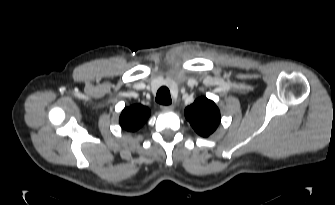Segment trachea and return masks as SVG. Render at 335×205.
I'll use <instances>...</instances> for the list:
<instances>
[{"instance_id":"trachea-1","label":"trachea","mask_w":335,"mask_h":205,"mask_svg":"<svg viewBox=\"0 0 335 205\" xmlns=\"http://www.w3.org/2000/svg\"><path fill=\"white\" fill-rule=\"evenodd\" d=\"M156 101L162 105H170L172 103L170 91L167 87L163 86L157 91Z\"/></svg>"}]
</instances>
